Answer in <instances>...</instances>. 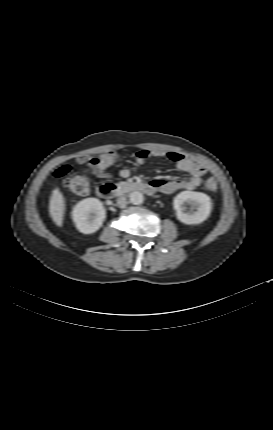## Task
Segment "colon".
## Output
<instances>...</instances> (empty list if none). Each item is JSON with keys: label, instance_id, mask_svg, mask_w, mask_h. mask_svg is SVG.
<instances>
[{"label": "colon", "instance_id": "5ec220e1", "mask_svg": "<svg viewBox=\"0 0 273 430\" xmlns=\"http://www.w3.org/2000/svg\"><path fill=\"white\" fill-rule=\"evenodd\" d=\"M55 176L63 181L65 188L75 194L83 195L87 192L89 181L86 174H77L69 165L60 166L55 171ZM205 188L210 192H215L218 184L215 179L209 178L205 182Z\"/></svg>", "mask_w": 273, "mask_h": 430}]
</instances>
